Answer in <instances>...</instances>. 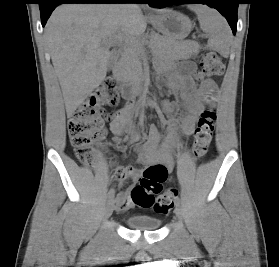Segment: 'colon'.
<instances>
[{"instance_id": "5ec220e1", "label": "colon", "mask_w": 279, "mask_h": 267, "mask_svg": "<svg viewBox=\"0 0 279 267\" xmlns=\"http://www.w3.org/2000/svg\"><path fill=\"white\" fill-rule=\"evenodd\" d=\"M201 37L200 33H196ZM224 72V64L214 52L205 51L201 58V75L220 76ZM120 95L117 83L109 78L104 81L69 117L68 133L71 145L77 159L84 165L93 167L97 158L93 148L95 142L104 134V108L114 106L119 102ZM117 114L107 115L114 118ZM216 111L212 103L200 114L194 131L192 154L195 159L202 158L208 151L215 128ZM166 173L162 167L148 166L144 169L138 185L131 191L133 203L141 208L153 207L157 213H168L174 206V199L178 195L176 188H169L157 198L155 194L161 192Z\"/></svg>"}]
</instances>
